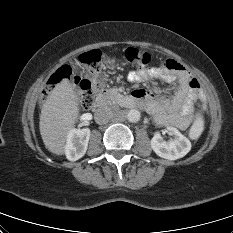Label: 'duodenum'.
<instances>
[{
    "mask_svg": "<svg viewBox=\"0 0 233 233\" xmlns=\"http://www.w3.org/2000/svg\"><path fill=\"white\" fill-rule=\"evenodd\" d=\"M112 100H116L121 105L125 107H129V108L135 107L137 105V99L135 97L121 96L111 91L101 92L96 98L94 105L96 108H101L102 106H104L105 104H107L108 102Z\"/></svg>",
    "mask_w": 233,
    "mask_h": 233,
    "instance_id": "410a0bca",
    "label": "duodenum"
}]
</instances>
